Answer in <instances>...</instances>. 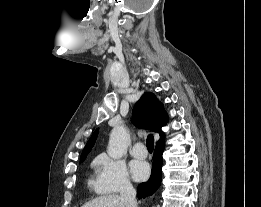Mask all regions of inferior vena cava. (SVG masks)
I'll use <instances>...</instances> for the list:
<instances>
[{
    "instance_id": "obj_1",
    "label": "inferior vena cava",
    "mask_w": 261,
    "mask_h": 207,
    "mask_svg": "<svg viewBox=\"0 0 261 207\" xmlns=\"http://www.w3.org/2000/svg\"><path fill=\"white\" fill-rule=\"evenodd\" d=\"M120 194L121 198L129 204V207H137L136 191L129 181L124 182Z\"/></svg>"
}]
</instances>
